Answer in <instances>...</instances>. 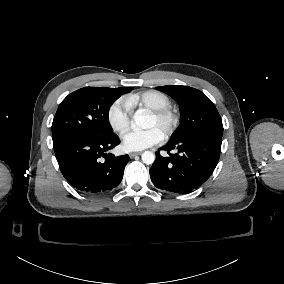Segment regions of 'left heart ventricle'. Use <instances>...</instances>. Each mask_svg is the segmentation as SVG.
<instances>
[{"label":"left heart ventricle","mask_w":284,"mask_h":284,"mask_svg":"<svg viewBox=\"0 0 284 284\" xmlns=\"http://www.w3.org/2000/svg\"><path fill=\"white\" fill-rule=\"evenodd\" d=\"M149 127L150 128H156L158 129L161 133L163 132L164 129V124L156 120V118L152 115L150 120H149Z\"/></svg>","instance_id":"1"}]
</instances>
